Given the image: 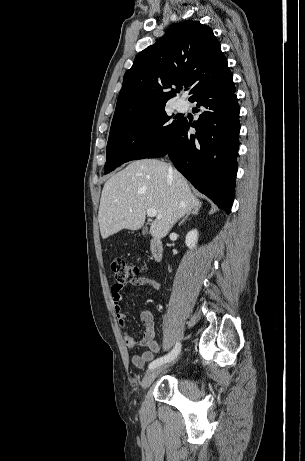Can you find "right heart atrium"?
I'll list each match as a JSON object with an SVG mask.
<instances>
[{"mask_svg":"<svg viewBox=\"0 0 305 461\" xmlns=\"http://www.w3.org/2000/svg\"><path fill=\"white\" fill-rule=\"evenodd\" d=\"M157 130L155 128V126L153 125H150L148 126L147 130H146V134L148 137H153L155 134H156Z\"/></svg>","mask_w":305,"mask_h":461,"instance_id":"right-heart-atrium-1","label":"right heart atrium"}]
</instances>
